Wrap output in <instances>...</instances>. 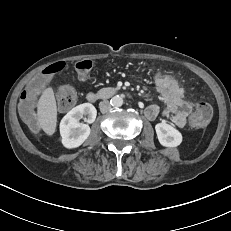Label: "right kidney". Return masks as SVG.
I'll use <instances>...</instances> for the list:
<instances>
[{"instance_id": "right-kidney-1", "label": "right kidney", "mask_w": 231, "mask_h": 231, "mask_svg": "<svg viewBox=\"0 0 231 231\" xmlns=\"http://www.w3.org/2000/svg\"><path fill=\"white\" fill-rule=\"evenodd\" d=\"M97 110L91 103H83L70 110L60 122V135L65 148H77L89 137L91 129L88 124L80 123L84 118L87 123H93Z\"/></svg>"}]
</instances>
